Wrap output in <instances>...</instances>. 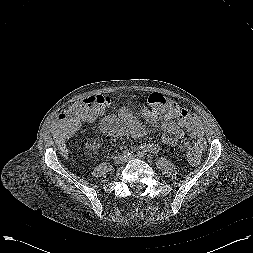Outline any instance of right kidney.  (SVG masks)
<instances>
[{"mask_svg":"<svg viewBox=\"0 0 253 253\" xmlns=\"http://www.w3.org/2000/svg\"><path fill=\"white\" fill-rule=\"evenodd\" d=\"M100 147V144H96V142L92 140V142H89L86 144V148L89 149V151L96 152L97 148Z\"/></svg>","mask_w":253,"mask_h":253,"instance_id":"ca27d5eb","label":"right kidney"}]
</instances>
